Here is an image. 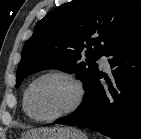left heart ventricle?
I'll use <instances>...</instances> for the list:
<instances>
[{
	"label": "left heart ventricle",
	"mask_w": 141,
	"mask_h": 139,
	"mask_svg": "<svg viewBox=\"0 0 141 139\" xmlns=\"http://www.w3.org/2000/svg\"><path fill=\"white\" fill-rule=\"evenodd\" d=\"M75 98L73 85L60 77L39 81L30 94V108L40 118L54 116L71 105Z\"/></svg>",
	"instance_id": "1"
}]
</instances>
